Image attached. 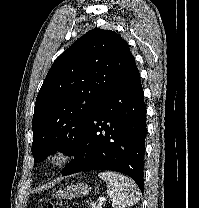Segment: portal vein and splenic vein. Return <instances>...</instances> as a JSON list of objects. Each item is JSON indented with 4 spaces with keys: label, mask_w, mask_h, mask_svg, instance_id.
I'll list each match as a JSON object with an SVG mask.
<instances>
[{
    "label": "portal vein and splenic vein",
    "mask_w": 199,
    "mask_h": 208,
    "mask_svg": "<svg viewBox=\"0 0 199 208\" xmlns=\"http://www.w3.org/2000/svg\"><path fill=\"white\" fill-rule=\"evenodd\" d=\"M104 200H105L104 198H100L99 202H98V205H102Z\"/></svg>",
    "instance_id": "18ae733b"
}]
</instances>
